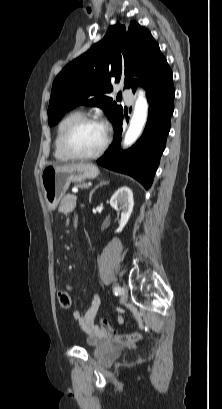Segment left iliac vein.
<instances>
[{"mask_svg":"<svg viewBox=\"0 0 222 409\" xmlns=\"http://www.w3.org/2000/svg\"><path fill=\"white\" fill-rule=\"evenodd\" d=\"M128 298V291L125 287L121 288V300L126 301Z\"/></svg>","mask_w":222,"mask_h":409,"instance_id":"obj_1","label":"left iliac vein"}]
</instances>
